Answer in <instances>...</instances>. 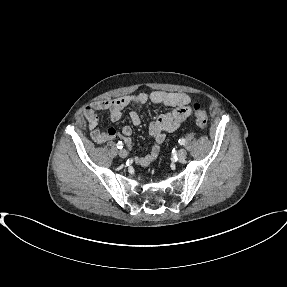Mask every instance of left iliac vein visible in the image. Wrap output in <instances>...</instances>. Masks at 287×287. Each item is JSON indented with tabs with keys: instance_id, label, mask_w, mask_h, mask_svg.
<instances>
[{
	"instance_id": "4c4485c4",
	"label": "left iliac vein",
	"mask_w": 287,
	"mask_h": 287,
	"mask_svg": "<svg viewBox=\"0 0 287 287\" xmlns=\"http://www.w3.org/2000/svg\"><path fill=\"white\" fill-rule=\"evenodd\" d=\"M187 152L185 149H180L177 152V158L179 161H184V159L186 158Z\"/></svg>"
}]
</instances>
